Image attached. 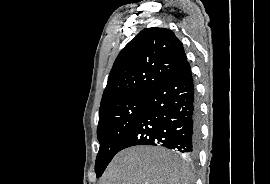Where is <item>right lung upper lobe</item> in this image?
<instances>
[{
	"mask_svg": "<svg viewBox=\"0 0 270 184\" xmlns=\"http://www.w3.org/2000/svg\"><path fill=\"white\" fill-rule=\"evenodd\" d=\"M187 62L181 41L165 28H146L119 53L100 108L130 96H148Z\"/></svg>",
	"mask_w": 270,
	"mask_h": 184,
	"instance_id": "1",
	"label": "right lung upper lobe"
}]
</instances>
